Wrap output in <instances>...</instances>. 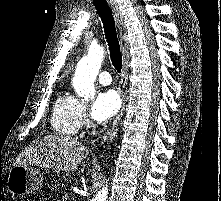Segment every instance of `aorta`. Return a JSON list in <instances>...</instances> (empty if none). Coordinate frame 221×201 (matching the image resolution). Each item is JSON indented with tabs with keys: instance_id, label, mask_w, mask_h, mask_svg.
I'll return each mask as SVG.
<instances>
[{
	"instance_id": "1",
	"label": "aorta",
	"mask_w": 221,
	"mask_h": 201,
	"mask_svg": "<svg viewBox=\"0 0 221 201\" xmlns=\"http://www.w3.org/2000/svg\"><path fill=\"white\" fill-rule=\"evenodd\" d=\"M104 57L103 47H91L87 57L83 58L73 78V87L82 98H90L94 95V81L101 67ZM107 184L103 187L92 201H107Z\"/></svg>"
}]
</instances>
